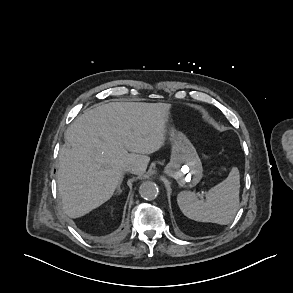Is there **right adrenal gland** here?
Here are the masks:
<instances>
[{
    "label": "right adrenal gland",
    "instance_id": "right-adrenal-gland-1",
    "mask_svg": "<svg viewBox=\"0 0 293 293\" xmlns=\"http://www.w3.org/2000/svg\"><path fill=\"white\" fill-rule=\"evenodd\" d=\"M121 183H122V180L119 182V185H118V187H117V191H116L115 194H120V193L122 192V190L120 189V185H121Z\"/></svg>",
    "mask_w": 293,
    "mask_h": 293
}]
</instances>
